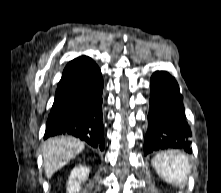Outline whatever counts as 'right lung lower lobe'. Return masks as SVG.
<instances>
[{"label": "right lung lower lobe", "instance_id": "98d812e1", "mask_svg": "<svg viewBox=\"0 0 221 193\" xmlns=\"http://www.w3.org/2000/svg\"><path fill=\"white\" fill-rule=\"evenodd\" d=\"M102 92L101 72L92 61L56 92L44 139L69 134L104 150Z\"/></svg>", "mask_w": 221, "mask_h": 193}]
</instances>
